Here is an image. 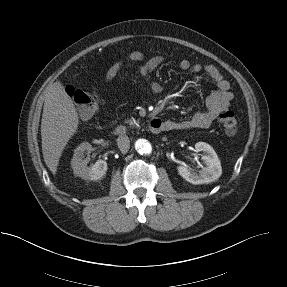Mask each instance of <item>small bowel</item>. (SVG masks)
<instances>
[{"label":"small bowel","mask_w":287,"mask_h":287,"mask_svg":"<svg viewBox=\"0 0 287 287\" xmlns=\"http://www.w3.org/2000/svg\"><path fill=\"white\" fill-rule=\"evenodd\" d=\"M164 61L163 56L155 55L147 57L140 51H132L125 58L114 61L107 69L104 80L111 81L128 63H136L138 73L148 82L149 88L153 94H159L162 91L161 85L151 79V74ZM179 68L191 74L204 72L216 85L214 90L206 99L204 110L194 112L190 117L181 120H164V130H185L191 128H207L218 115L224 112L233 100L234 94L230 90V83L226 80L220 71L213 65L203 66L200 63H191L183 59L179 62Z\"/></svg>","instance_id":"small-bowel-1"}]
</instances>
